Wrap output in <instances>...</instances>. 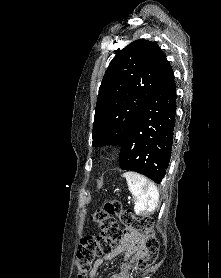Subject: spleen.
<instances>
[{"instance_id": "1", "label": "spleen", "mask_w": 221, "mask_h": 278, "mask_svg": "<svg viewBox=\"0 0 221 278\" xmlns=\"http://www.w3.org/2000/svg\"><path fill=\"white\" fill-rule=\"evenodd\" d=\"M123 177L126 178L128 188L135 198V213L137 215L152 214L159 203V192L154 183L134 172H126Z\"/></svg>"}]
</instances>
